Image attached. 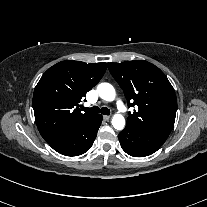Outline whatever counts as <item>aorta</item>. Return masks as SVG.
<instances>
[{
	"label": "aorta",
	"instance_id": "obj_1",
	"mask_svg": "<svg viewBox=\"0 0 207 207\" xmlns=\"http://www.w3.org/2000/svg\"><path fill=\"white\" fill-rule=\"evenodd\" d=\"M97 91L100 98L105 101H113L115 99V89L109 83H100L97 86ZM112 125L116 130H122L125 127V119L123 115L115 114L112 118Z\"/></svg>",
	"mask_w": 207,
	"mask_h": 207
}]
</instances>
